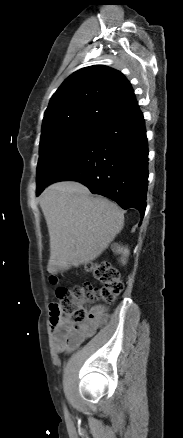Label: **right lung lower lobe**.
<instances>
[{
  "label": "right lung lower lobe",
  "mask_w": 183,
  "mask_h": 438,
  "mask_svg": "<svg viewBox=\"0 0 183 438\" xmlns=\"http://www.w3.org/2000/svg\"><path fill=\"white\" fill-rule=\"evenodd\" d=\"M64 180L81 182L92 193L114 200L123 209L135 208L143 217L148 146L139 107L100 124L88 143L47 185ZM45 187L37 191V196Z\"/></svg>",
  "instance_id": "obj_1"
}]
</instances>
